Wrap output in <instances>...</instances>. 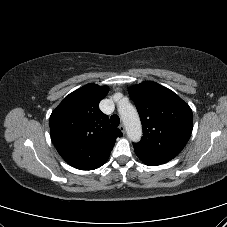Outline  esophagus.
Here are the masks:
<instances>
[{
  "mask_svg": "<svg viewBox=\"0 0 227 227\" xmlns=\"http://www.w3.org/2000/svg\"><path fill=\"white\" fill-rule=\"evenodd\" d=\"M119 129H120V131L122 132V133H125V126L123 125V124H121L120 126H119Z\"/></svg>",
  "mask_w": 227,
  "mask_h": 227,
  "instance_id": "esophagus-1",
  "label": "esophagus"
}]
</instances>
